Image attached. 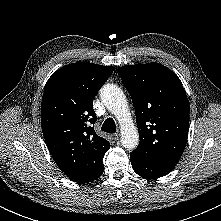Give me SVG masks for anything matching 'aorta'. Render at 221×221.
<instances>
[{
    "label": "aorta",
    "instance_id": "aorta-1",
    "mask_svg": "<svg viewBox=\"0 0 221 221\" xmlns=\"http://www.w3.org/2000/svg\"><path fill=\"white\" fill-rule=\"evenodd\" d=\"M100 98L119 122L122 146L128 150L135 149L139 143V134L121 88L114 84H105L100 89Z\"/></svg>",
    "mask_w": 221,
    "mask_h": 221
}]
</instances>
